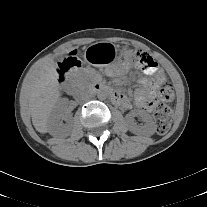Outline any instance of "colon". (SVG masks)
Listing matches in <instances>:
<instances>
[{"mask_svg": "<svg viewBox=\"0 0 207 207\" xmlns=\"http://www.w3.org/2000/svg\"><path fill=\"white\" fill-rule=\"evenodd\" d=\"M127 58L133 60L143 72L148 74L156 72L159 66L156 59L151 57L149 58V56L143 52L132 51L127 55ZM71 66V64H66L64 67L60 68L61 74H63ZM173 98V85L169 81H164L158 91L157 105L154 112L156 129L159 134H165L171 127L173 112L166 105V103L171 102Z\"/></svg>", "mask_w": 207, "mask_h": 207, "instance_id": "colon-1", "label": "colon"}]
</instances>
